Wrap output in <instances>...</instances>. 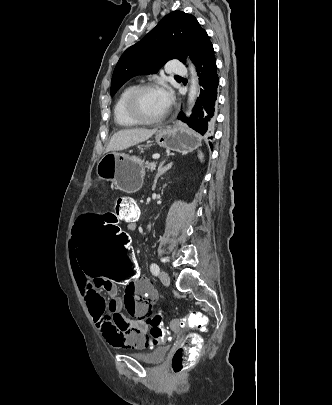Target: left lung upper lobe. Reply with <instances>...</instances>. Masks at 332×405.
Wrapping results in <instances>:
<instances>
[{
	"mask_svg": "<svg viewBox=\"0 0 332 405\" xmlns=\"http://www.w3.org/2000/svg\"><path fill=\"white\" fill-rule=\"evenodd\" d=\"M210 44L209 36L193 15L169 13L122 54L113 72L111 96L133 76L156 73L168 60L185 63L188 54L195 63Z\"/></svg>",
	"mask_w": 332,
	"mask_h": 405,
	"instance_id": "left-lung-upper-lobe-1",
	"label": "left lung upper lobe"
}]
</instances>
